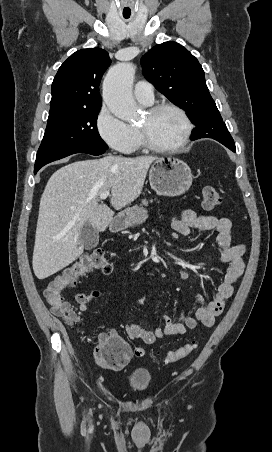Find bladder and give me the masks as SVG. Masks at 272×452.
Listing matches in <instances>:
<instances>
[{
    "instance_id": "31cf9c89",
    "label": "bladder",
    "mask_w": 272,
    "mask_h": 452,
    "mask_svg": "<svg viewBox=\"0 0 272 452\" xmlns=\"http://www.w3.org/2000/svg\"><path fill=\"white\" fill-rule=\"evenodd\" d=\"M151 373L147 369L135 368L128 376L129 386L136 391H145L151 384Z\"/></svg>"
}]
</instances>
